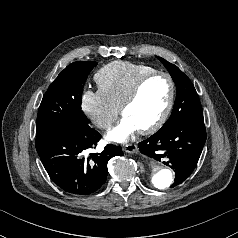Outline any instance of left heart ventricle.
<instances>
[{"label":"left heart ventricle","instance_id":"1","mask_svg":"<svg viewBox=\"0 0 238 238\" xmlns=\"http://www.w3.org/2000/svg\"><path fill=\"white\" fill-rule=\"evenodd\" d=\"M169 98V84L163 77L150 80L137 100L124 112L138 127L143 129L154 123L163 112Z\"/></svg>","mask_w":238,"mask_h":238}]
</instances>
